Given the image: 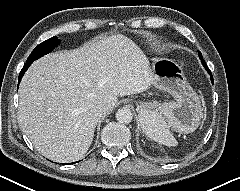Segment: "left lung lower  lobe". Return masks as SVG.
<instances>
[{
    "instance_id": "obj_1",
    "label": "left lung lower lobe",
    "mask_w": 240,
    "mask_h": 191,
    "mask_svg": "<svg viewBox=\"0 0 240 191\" xmlns=\"http://www.w3.org/2000/svg\"><path fill=\"white\" fill-rule=\"evenodd\" d=\"M199 58L201 59V62H202V64H203L204 68H205V69L208 71V73L210 74L211 81H212V83H213V77H212V74H211L210 69L207 67V65H206V63H205L203 57H202V56H199Z\"/></svg>"
}]
</instances>
